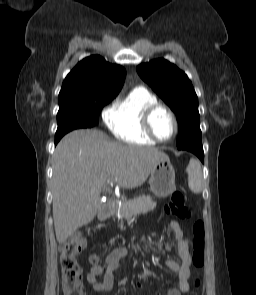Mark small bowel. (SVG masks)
Returning <instances> with one entry per match:
<instances>
[{"label": "small bowel", "mask_w": 256, "mask_h": 295, "mask_svg": "<svg viewBox=\"0 0 256 295\" xmlns=\"http://www.w3.org/2000/svg\"><path fill=\"white\" fill-rule=\"evenodd\" d=\"M170 229L173 232L176 241L178 261L173 259L166 260V267L177 273L178 286L169 290L167 295H181L189 290L190 277V239L185 236L178 222L172 221ZM128 256V251L124 247L115 248L106 257L103 263H94L91 270L87 274V281L91 285L94 293L110 291L114 285V271L119 268L122 259ZM102 276L103 280L98 282V278Z\"/></svg>", "instance_id": "obj_1"}]
</instances>
